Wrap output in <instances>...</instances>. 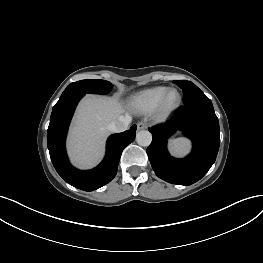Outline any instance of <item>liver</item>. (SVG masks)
Wrapping results in <instances>:
<instances>
[{
    "instance_id": "liver-1",
    "label": "liver",
    "mask_w": 263,
    "mask_h": 263,
    "mask_svg": "<svg viewBox=\"0 0 263 263\" xmlns=\"http://www.w3.org/2000/svg\"><path fill=\"white\" fill-rule=\"evenodd\" d=\"M123 112L116 97L88 95L79 104L69 137V153L79 167L94 166L103 154L108 125Z\"/></svg>"
}]
</instances>
